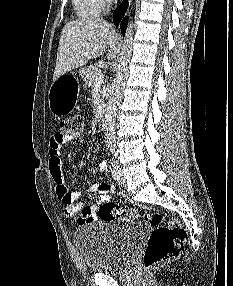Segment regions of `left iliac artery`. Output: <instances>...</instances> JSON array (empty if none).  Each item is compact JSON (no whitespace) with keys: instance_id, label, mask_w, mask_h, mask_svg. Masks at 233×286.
<instances>
[{"instance_id":"1","label":"left iliac artery","mask_w":233,"mask_h":286,"mask_svg":"<svg viewBox=\"0 0 233 286\" xmlns=\"http://www.w3.org/2000/svg\"><path fill=\"white\" fill-rule=\"evenodd\" d=\"M110 151L114 156H116L115 147L111 146Z\"/></svg>"}]
</instances>
